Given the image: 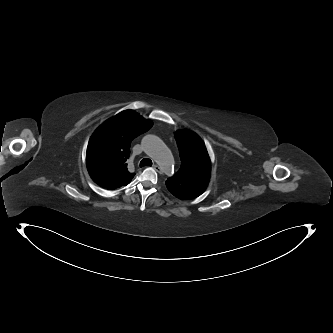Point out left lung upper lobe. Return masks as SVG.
<instances>
[{"label": "left lung upper lobe", "instance_id": "obj_1", "mask_svg": "<svg viewBox=\"0 0 333 333\" xmlns=\"http://www.w3.org/2000/svg\"><path fill=\"white\" fill-rule=\"evenodd\" d=\"M179 148L181 167L167 179L168 191L179 199L190 200L200 196L206 189L210 173V158L203 141L188 130L175 133Z\"/></svg>", "mask_w": 333, "mask_h": 333}]
</instances>
